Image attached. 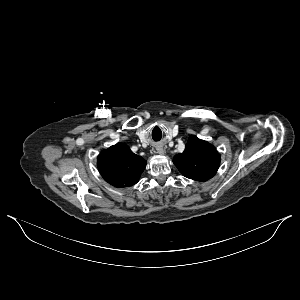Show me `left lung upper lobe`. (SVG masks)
<instances>
[{
    "instance_id": "1",
    "label": "left lung upper lobe",
    "mask_w": 300,
    "mask_h": 300,
    "mask_svg": "<svg viewBox=\"0 0 300 300\" xmlns=\"http://www.w3.org/2000/svg\"><path fill=\"white\" fill-rule=\"evenodd\" d=\"M220 159L213 145L191 135L185 150L174 156L173 163L185 177L203 182L216 174Z\"/></svg>"
}]
</instances>
